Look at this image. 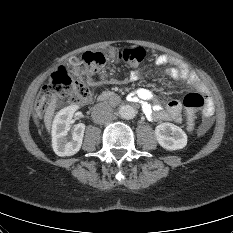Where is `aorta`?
<instances>
[{
    "label": "aorta",
    "instance_id": "1",
    "mask_svg": "<svg viewBox=\"0 0 233 233\" xmlns=\"http://www.w3.org/2000/svg\"><path fill=\"white\" fill-rule=\"evenodd\" d=\"M119 114L124 119H133L136 116V110L130 105L121 106Z\"/></svg>",
    "mask_w": 233,
    "mask_h": 233
}]
</instances>
